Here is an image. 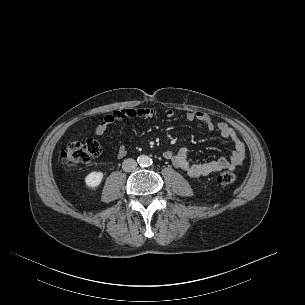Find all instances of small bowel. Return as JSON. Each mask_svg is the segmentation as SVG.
I'll list each match as a JSON object with an SVG mask.
<instances>
[{
  "label": "small bowel",
  "instance_id": "small-bowel-1",
  "mask_svg": "<svg viewBox=\"0 0 305 305\" xmlns=\"http://www.w3.org/2000/svg\"><path fill=\"white\" fill-rule=\"evenodd\" d=\"M155 113L151 108H125L114 111L106 115L95 129V134L103 137L107 133L108 128L115 122H121L126 119H152ZM165 115L168 118L173 117L174 111L166 110ZM186 119L190 122H199L203 124L208 131L216 130L219 135L232 143L233 152L229 159L221 157L214 161L204 163H194L190 160V152L187 148H181L178 151L166 150L163 152V157L170 160L175 167L185 172L192 179H200L212 173L219 172L224 169H235L241 166L246 157V149L242 140L238 137L235 130L225 122L215 124L205 112L188 111ZM127 154L124 144H120L117 148L116 155L118 158H123Z\"/></svg>",
  "mask_w": 305,
  "mask_h": 305
}]
</instances>
